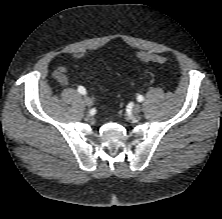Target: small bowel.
I'll list each match as a JSON object with an SVG mask.
<instances>
[{
	"label": "small bowel",
	"mask_w": 222,
	"mask_h": 219,
	"mask_svg": "<svg viewBox=\"0 0 222 219\" xmlns=\"http://www.w3.org/2000/svg\"><path fill=\"white\" fill-rule=\"evenodd\" d=\"M83 57H84V54H82V53H77V54L73 55V58L76 59V60H80ZM55 77L62 85H66L69 82L68 71L65 67H60L55 72Z\"/></svg>",
	"instance_id": "small-bowel-1"
}]
</instances>
